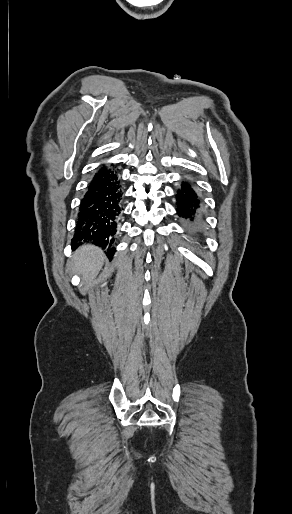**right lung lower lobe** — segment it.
<instances>
[{"instance_id": "obj_1", "label": "right lung lower lobe", "mask_w": 292, "mask_h": 514, "mask_svg": "<svg viewBox=\"0 0 292 514\" xmlns=\"http://www.w3.org/2000/svg\"><path fill=\"white\" fill-rule=\"evenodd\" d=\"M123 210L122 181L114 165L101 166L84 194L78 213L73 248L80 241H91L107 248V256L115 253L114 234ZM81 244V243H80Z\"/></svg>"}]
</instances>
